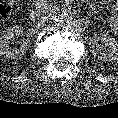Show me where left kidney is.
I'll list each match as a JSON object with an SVG mask.
<instances>
[{
	"label": "left kidney",
	"mask_w": 118,
	"mask_h": 118,
	"mask_svg": "<svg viewBox=\"0 0 118 118\" xmlns=\"http://www.w3.org/2000/svg\"><path fill=\"white\" fill-rule=\"evenodd\" d=\"M99 40H101L103 44H99ZM89 46L91 52L97 58L105 61H118V40L110 34L100 33L99 35H95L90 39Z\"/></svg>",
	"instance_id": "1"
}]
</instances>
